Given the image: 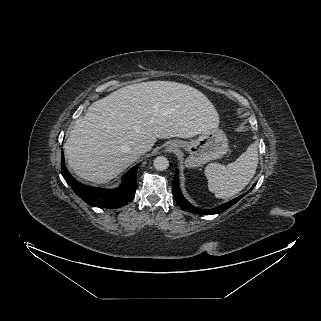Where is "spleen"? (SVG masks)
Segmentation results:
<instances>
[{
    "label": "spleen",
    "instance_id": "1",
    "mask_svg": "<svg viewBox=\"0 0 321 321\" xmlns=\"http://www.w3.org/2000/svg\"><path fill=\"white\" fill-rule=\"evenodd\" d=\"M257 166L258 150L255 144H251L236 161L227 166L219 163L208 164L205 167V176L209 191L220 199L236 195L254 177Z\"/></svg>",
    "mask_w": 321,
    "mask_h": 321
}]
</instances>
